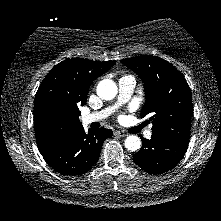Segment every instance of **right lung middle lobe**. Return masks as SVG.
Here are the masks:
<instances>
[{"label": "right lung middle lobe", "mask_w": 221, "mask_h": 221, "mask_svg": "<svg viewBox=\"0 0 221 221\" xmlns=\"http://www.w3.org/2000/svg\"><path fill=\"white\" fill-rule=\"evenodd\" d=\"M73 114L58 104H46L41 110V120L49 127H56L68 120ZM78 115L80 113L78 112Z\"/></svg>", "instance_id": "1"}]
</instances>
